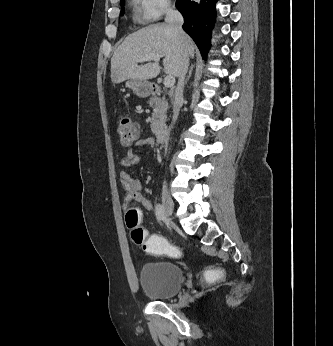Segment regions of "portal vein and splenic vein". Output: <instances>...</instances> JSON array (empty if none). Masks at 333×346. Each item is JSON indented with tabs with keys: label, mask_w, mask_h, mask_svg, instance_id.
Masks as SVG:
<instances>
[{
	"label": "portal vein and splenic vein",
	"mask_w": 333,
	"mask_h": 346,
	"mask_svg": "<svg viewBox=\"0 0 333 346\" xmlns=\"http://www.w3.org/2000/svg\"><path fill=\"white\" fill-rule=\"evenodd\" d=\"M161 58V55L159 54H152V55H149L143 59L140 60L141 63L143 62H146V61H155V62H159ZM164 86L166 88H172L175 84V77L174 76H171V75H168L164 78V82H163Z\"/></svg>",
	"instance_id": "portal-vein-and-splenic-vein-1"
}]
</instances>
